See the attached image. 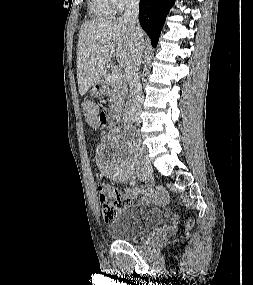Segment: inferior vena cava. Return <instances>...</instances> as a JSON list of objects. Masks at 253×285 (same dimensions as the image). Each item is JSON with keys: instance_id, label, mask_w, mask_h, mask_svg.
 <instances>
[{"instance_id": "1", "label": "inferior vena cava", "mask_w": 253, "mask_h": 285, "mask_svg": "<svg viewBox=\"0 0 253 285\" xmlns=\"http://www.w3.org/2000/svg\"><path fill=\"white\" fill-rule=\"evenodd\" d=\"M140 0H128L123 20L128 22L133 29H139L138 10ZM134 48L125 64V77L129 84V99L126 103L125 114L129 120L137 121L141 107L142 90L140 85L139 69L141 66L144 46L139 38H135Z\"/></svg>"}]
</instances>
